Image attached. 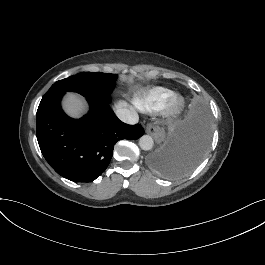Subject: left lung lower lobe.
<instances>
[{
	"instance_id": "0a47b994",
	"label": "left lung lower lobe",
	"mask_w": 265,
	"mask_h": 265,
	"mask_svg": "<svg viewBox=\"0 0 265 265\" xmlns=\"http://www.w3.org/2000/svg\"><path fill=\"white\" fill-rule=\"evenodd\" d=\"M210 132L206 108L202 105L194 106L188 118L149 155L150 167L167 178L189 173L203 159L209 145Z\"/></svg>"
}]
</instances>
